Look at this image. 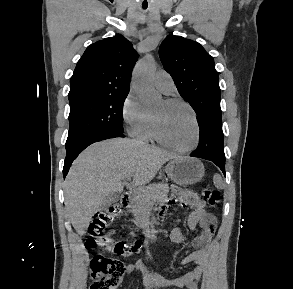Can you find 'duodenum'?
Segmentation results:
<instances>
[{
    "label": "duodenum",
    "instance_id": "obj_1",
    "mask_svg": "<svg viewBox=\"0 0 293 289\" xmlns=\"http://www.w3.org/2000/svg\"><path fill=\"white\" fill-rule=\"evenodd\" d=\"M120 206L123 209H127L130 206V194L129 193L122 194L121 199H120Z\"/></svg>",
    "mask_w": 293,
    "mask_h": 289
}]
</instances>
